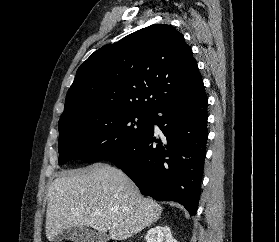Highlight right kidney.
<instances>
[{
    "instance_id": "obj_1",
    "label": "right kidney",
    "mask_w": 279,
    "mask_h": 242,
    "mask_svg": "<svg viewBox=\"0 0 279 242\" xmlns=\"http://www.w3.org/2000/svg\"><path fill=\"white\" fill-rule=\"evenodd\" d=\"M146 242H177L168 226L158 225L147 231Z\"/></svg>"
}]
</instances>
